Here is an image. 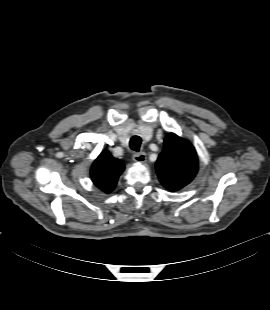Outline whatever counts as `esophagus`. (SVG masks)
I'll return each instance as SVG.
<instances>
[{
	"instance_id": "obj_1",
	"label": "esophagus",
	"mask_w": 270,
	"mask_h": 310,
	"mask_svg": "<svg viewBox=\"0 0 270 310\" xmlns=\"http://www.w3.org/2000/svg\"><path fill=\"white\" fill-rule=\"evenodd\" d=\"M147 159V156L144 152H140V153H135L133 155V160L135 162H139V163H144Z\"/></svg>"
}]
</instances>
